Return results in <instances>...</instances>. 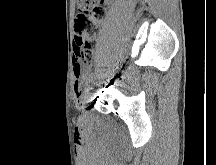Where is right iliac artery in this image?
<instances>
[{"instance_id":"1","label":"right iliac artery","mask_w":216,"mask_h":165,"mask_svg":"<svg viewBox=\"0 0 216 165\" xmlns=\"http://www.w3.org/2000/svg\"><path fill=\"white\" fill-rule=\"evenodd\" d=\"M94 79V76L91 74L90 76H89V81L91 82L92 80Z\"/></svg>"}]
</instances>
